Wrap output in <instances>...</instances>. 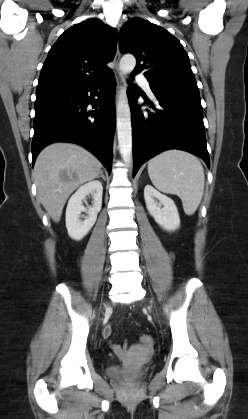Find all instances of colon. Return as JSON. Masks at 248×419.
I'll return each mask as SVG.
<instances>
[{"mask_svg": "<svg viewBox=\"0 0 248 419\" xmlns=\"http://www.w3.org/2000/svg\"><path fill=\"white\" fill-rule=\"evenodd\" d=\"M141 342L146 345L147 347H151L153 344V339L149 335H142L140 337Z\"/></svg>", "mask_w": 248, "mask_h": 419, "instance_id": "colon-1", "label": "colon"}]
</instances>
